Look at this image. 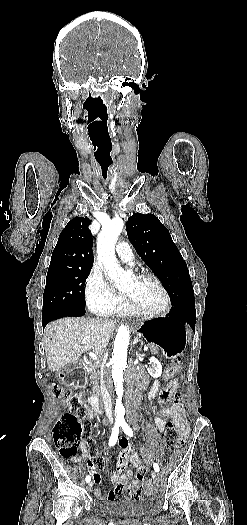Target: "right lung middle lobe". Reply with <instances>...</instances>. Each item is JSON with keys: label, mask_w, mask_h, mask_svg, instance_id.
<instances>
[{"label": "right lung middle lobe", "mask_w": 247, "mask_h": 525, "mask_svg": "<svg viewBox=\"0 0 247 525\" xmlns=\"http://www.w3.org/2000/svg\"><path fill=\"white\" fill-rule=\"evenodd\" d=\"M91 269L48 271L43 294L42 321L84 311V285Z\"/></svg>", "instance_id": "right-lung-middle-lobe-1"}]
</instances>
